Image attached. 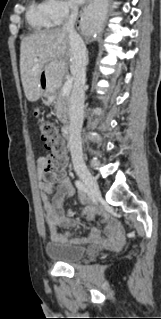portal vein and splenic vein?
Returning <instances> with one entry per match:
<instances>
[{"instance_id": "obj_1", "label": "portal vein and splenic vein", "mask_w": 161, "mask_h": 319, "mask_svg": "<svg viewBox=\"0 0 161 319\" xmlns=\"http://www.w3.org/2000/svg\"><path fill=\"white\" fill-rule=\"evenodd\" d=\"M71 88H72V80H67L62 88L63 95H66V96L69 95Z\"/></svg>"}]
</instances>
